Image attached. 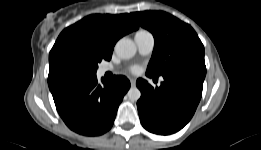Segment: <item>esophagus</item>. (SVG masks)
I'll return each instance as SVG.
<instances>
[{
	"label": "esophagus",
	"instance_id": "1",
	"mask_svg": "<svg viewBox=\"0 0 261 150\" xmlns=\"http://www.w3.org/2000/svg\"><path fill=\"white\" fill-rule=\"evenodd\" d=\"M131 86L134 87L136 85V80L134 78H130Z\"/></svg>",
	"mask_w": 261,
	"mask_h": 150
}]
</instances>
